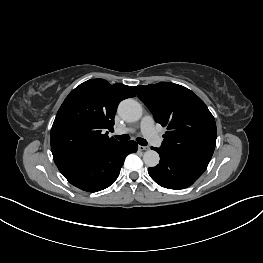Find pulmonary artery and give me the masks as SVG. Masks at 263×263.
Listing matches in <instances>:
<instances>
[{"instance_id":"1","label":"pulmonary artery","mask_w":263,"mask_h":263,"mask_svg":"<svg viewBox=\"0 0 263 263\" xmlns=\"http://www.w3.org/2000/svg\"><path fill=\"white\" fill-rule=\"evenodd\" d=\"M129 130L127 129H118L116 130L117 134L126 133ZM141 131L146 139L155 147H159L162 144V138L156 131L154 127L153 118L150 115H146L141 120Z\"/></svg>"}]
</instances>
